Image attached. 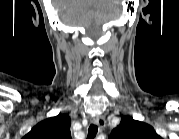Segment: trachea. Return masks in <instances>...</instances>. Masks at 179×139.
<instances>
[{
    "label": "trachea",
    "mask_w": 179,
    "mask_h": 139,
    "mask_svg": "<svg viewBox=\"0 0 179 139\" xmlns=\"http://www.w3.org/2000/svg\"><path fill=\"white\" fill-rule=\"evenodd\" d=\"M97 132H98V126L94 125V124H91L89 126V129H88L87 139H94V137L96 136Z\"/></svg>",
    "instance_id": "1"
}]
</instances>
